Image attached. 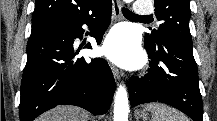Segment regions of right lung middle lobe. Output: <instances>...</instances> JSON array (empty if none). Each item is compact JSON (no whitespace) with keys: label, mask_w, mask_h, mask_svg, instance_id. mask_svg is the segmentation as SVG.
Masks as SVG:
<instances>
[{"label":"right lung middle lobe","mask_w":217,"mask_h":121,"mask_svg":"<svg viewBox=\"0 0 217 121\" xmlns=\"http://www.w3.org/2000/svg\"><path fill=\"white\" fill-rule=\"evenodd\" d=\"M67 24L68 23H63V22H59V21H52V20L32 23L31 35L36 34V33H40V32H43V31H46L49 29L62 27V26H65Z\"/></svg>","instance_id":"right-lung-middle-lobe-1"}]
</instances>
